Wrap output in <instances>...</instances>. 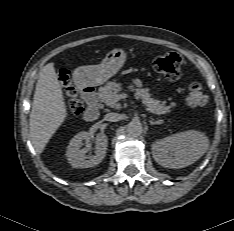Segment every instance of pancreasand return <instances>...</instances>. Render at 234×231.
Masks as SVG:
<instances>
[{"label":"pancreas","instance_id":"cf45deb5","mask_svg":"<svg viewBox=\"0 0 234 231\" xmlns=\"http://www.w3.org/2000/svg\"><path fill=\"white\" fill-rule=\"evenodd\" d=\"M142 82L139 79H135L132 81V84L129 88L132 91H135V97L137 99H141L143 105L146 107L148 111L151 113L160 115L166 114L171 111V108L175 106V103H171V105H165V102H161L159 100L154 99L149 90L147 88H142ZM122 90L120 83H116L115 81H110L106 83L103 87L99 88L98 99L101 103H104L107 106L114 107L116 102L114 99L119 95L118 93Z\"/></svg>","mask_w":234,"mask_h":231}]
</instances>
